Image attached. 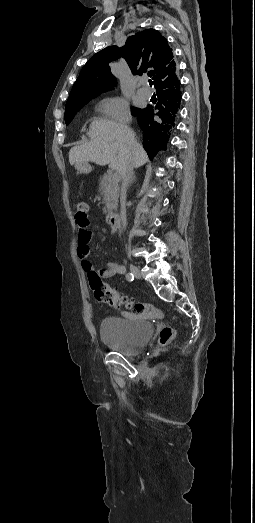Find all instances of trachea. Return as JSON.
<instances>
[{
    "instance_id": "trachea-1",
    "label": "trachea",
    "mask_w": 255,
    "mask_h": 523,
    "mask_svg": "<svg viewBox=\"0 0 255 523\" xmlns=\"http://www.w3.org/2000/svg\"><path fill=\"white\" fill-rule=\"evenodd\" d=\"M149 85L152 86L153 85V82L151 80H149Z\"/></svg>"
}]
</instances>
